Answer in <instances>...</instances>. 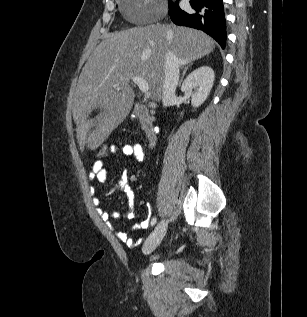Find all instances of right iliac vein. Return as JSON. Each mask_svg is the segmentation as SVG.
<instances>
[{
  "label": "right iliac vein",
  "instance_id": "obj_1",
  "mask_svg": "<svg viewBox=\"0 0 307 317\" xmlns=\"http://www.w3.org/2000/svg\"><path fill=\"white\" fill-rule=\"evenodd\" d=\"M167 230V220H162L149 235L143 246L145 254H150L162 241Z\"/></svg>",
  "mask_w": 307,
  "mask_h": 317
}]
</instances>
